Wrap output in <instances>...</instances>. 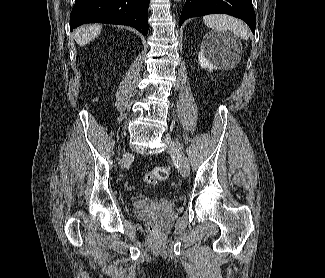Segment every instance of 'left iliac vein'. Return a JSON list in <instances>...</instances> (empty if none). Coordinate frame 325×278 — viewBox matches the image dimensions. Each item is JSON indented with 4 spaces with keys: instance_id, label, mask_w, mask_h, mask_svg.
<instances>
[{
    "instance_id": "left-iliac-vein-1",
    "label": "left iliac vein",
    "mask_w": 325,
    "mask_h": 278,
    "mask_svg": "<svg viewBox=\"0 0 325 278\" xmlns=\"http://www.w3.org/2000/svg\"><path fill=\"white\" fill-rule=\"evenodd\" d=\"M167 152L178 162L179 170L183 177H187L190 173V165L188 158L179 149L175 142L171 139H166Z\"/></svg>"
}]
</instances>
